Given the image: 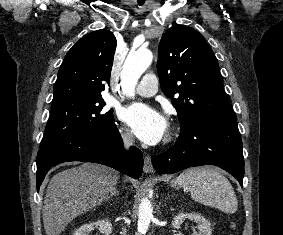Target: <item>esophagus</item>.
Returning <instances> with one entry per match:
<instances>
[{"label":"esophagus","mask_w":283,"mask_h":235,"mask_svg":"<svg viewBox=\"0 0 283 235\" xmlns=\"http://www.w3.org/2000/svg\"><path fill=\"white\" fill-rule=\"evenodd\" d=\"M143 170H144V172L147 173V174L153 173V170H154V169H153L151 157H150L149 155L145 156V158H144Z\"/></svg>","instance_id":"esophagus-1"}]
</instances>
